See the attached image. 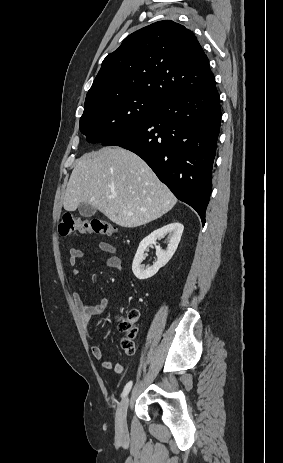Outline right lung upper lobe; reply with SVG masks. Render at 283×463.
I'll list each match as a JSON object with an SVG mask.
<instances>
[{
	"instance_id": "1",
	"label": "right lung upper lobe",
	"mask_w": 283,
	"mask_h": 463,
	"mask_svg": "<svg viewBox=\"0 0 283 463\" xmlns=\"http://www.w3.org/2000/svg\"><path fill=\"white\" fill-rule=\"evenodd\" d=\"M214 84L209 60L193 32L164 20L130 34L103 60L85 103L120 93L160 102Z\"/></svg>"
}]
</instances>
